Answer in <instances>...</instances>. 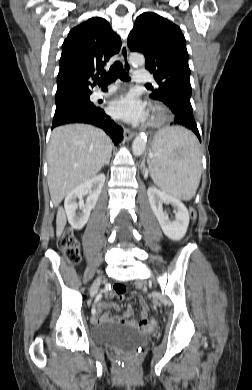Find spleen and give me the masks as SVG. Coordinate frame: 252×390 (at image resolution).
Here are the masks:
<instances>
[{"label": "spleen", "mask_w": 252, "mask_h": 390, "mask_svg": "<svg viewBox=\"0 0 252 390\" xmlns=\"http://www.w3.org/2000/svg\"><path fill=\"white\" fill-rule=\"evenodd\" d=\"M152 149L149 171L154 183L185 201L195 196L201 179V153L194 134L181 127L161 130Z\"/></svg>", "instance_id": "obj_1"}]
</instances>
